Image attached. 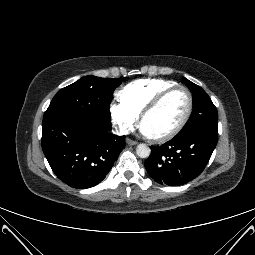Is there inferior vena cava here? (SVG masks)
Here are the masks:
<instances>
[{
	"label": "inferior vena cava",
	"mask_w": 255,
	"mask_h": 255,
	"mask_svg": "<svg viewBox=\"0 0 255 255\" xmlns=\"http://www.w3.org/2000/svg\"><path fill=\"white\" fill-rule=\"evenodd\" d=\"M116 133H117V134H120V135H123V134H127V131L121 129V130H117Z\"/></svg>",
	"instance_id": "602c4592"
}]
</instances>
